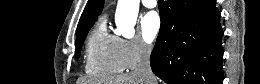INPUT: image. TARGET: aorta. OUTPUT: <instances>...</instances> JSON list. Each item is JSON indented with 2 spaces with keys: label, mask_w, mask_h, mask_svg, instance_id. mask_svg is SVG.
Listing matches in <instances>:
<instances>
[{
  "label": "aorta",
  "mask_w": 260,
  "mask_h": 84,
  "mask_svg": "<svg viewBox=\"0 0 260 84\" xmlns=\"http://www.w3.org/2000/svg\"><path fill=\"white\" fill-rule=\"evenodd\" d=\"M139 11V0H119L115 13L117 34L132 38Z\"/></svg>",
  "instance_id": "obj_1"
}]
</instances>
